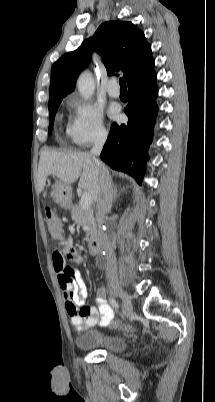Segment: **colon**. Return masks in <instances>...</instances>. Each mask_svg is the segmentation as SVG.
<instances>
[{"label":"colon","instance_id":"5ec220e1","mask_svg":"<svg viewBox=\"0 0 215 402\" xmlns=\"http://www.w3.org/2000/svg\"><path fill=\"white\" fill-rule=\"evenodd\" d=\"M45 214H46V221H47V225H48L50 233L54 237H60L61 236V227L57 220L54 209L50 206H47L45 209ZM61 242H66V237H61ZM124 328L127 330H131V327L128 325H125Z\"/></svg>","mask_w":215,"mask_h":402}]
</instances>
